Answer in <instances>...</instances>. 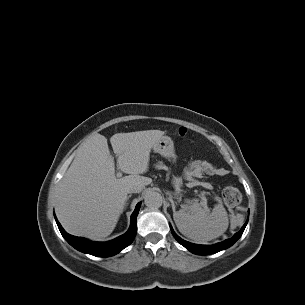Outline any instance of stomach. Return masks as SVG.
<instances>
[{"instance_id": "1", "label": "stomach", "mask_w": 305, "mask_h": 305, "mask_svg": "<svg viewBox=\"0 0 305 305\" xmlns=\"http://www.w3.org/2000/svg\"><path fill=\"white\" fill-rule=\"evenodd\" d=\"M153 150L155 153H159L161 156L175 162L177 156L175 154L174 143L168 136L161 137L154 146ZM173 184L177 193L181 192L182 179L180 177H174Z\"/></svg>"}]
</instances>
